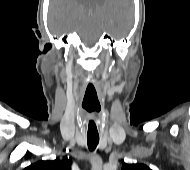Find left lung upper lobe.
<instances>
[{
	"instance_id": "1",
	"label": "left lung upper lobe",
	"mask_w": 190,
	"mask_h": 170,
	"mask_svg": "<svg viewBox=\"0 0 190 170\" xmlns=\"http://www.w3.org/2000/svg\"><path fill=\"white\" fill-rule=\"evenodd\" d=\"M122 170H151L148 166L144 164H126L122 166Z\"/></svg>"
}]
</instances>
